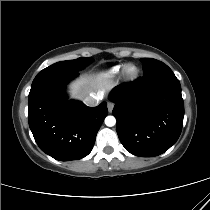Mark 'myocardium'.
Here are the masks:
<instances>
[{
  "label": "myocardium",
  "instance_id": "1",
  "mask_svg": "<svg viewBox=\"0 0 210 210\" xmlns=\"http://www.w3.org/2000/svg\"><path fill=\"white\" fill-rule=\"evenodd\" d=\"M123 73L128 80H134L139 74V69L134 64H127L124 67Z\"/></svg>",
  "mask_w": 210,
  "mask_h": 210
}]
</instances>
